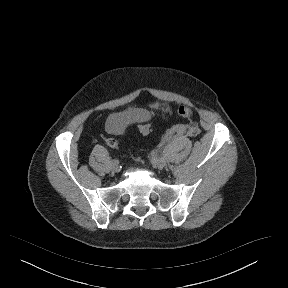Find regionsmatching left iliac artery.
Masks as SVG:
<instances>
[{"mask_svg": "<svg viewBox=\"0 0 288 288\" xmlns=\"http://www.w3.org/2000/svg\"><path fill=\"white\" fill-rule=\"evenodd\" d=\"M158 156H161V153H157Z\"/></svg>", "mask_w": 288, "mask_h": 288, "instance_id": "1", "label": "left iliac artery"}]
</instances>
